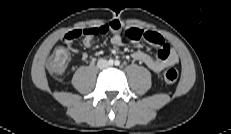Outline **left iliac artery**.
<instances>
[{"label":"left iliac artery","instance_id":"left-iliac-artery-1","mask_svg":"<svg viewBox=\"0 0 231 134\" xmlns=\"http://www.w3.org/2000/svg\"><path fill=\"white\" fill-rule=\"evenodd\" d=\"M115 65H116V66H119V65H120V61H119V60H116V61H115Z\"/></svg>","mask_w":231,"mask_h":134}]
</instances>
